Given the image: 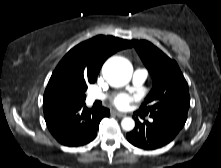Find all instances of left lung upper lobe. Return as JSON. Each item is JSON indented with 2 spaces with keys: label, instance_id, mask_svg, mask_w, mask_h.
Returning a JSON list of instances; mask_svg holds the SVG:
<instances>
[{
  "label": "left lung upper lobe",
  "instance_id": "5c2ea615",
  "mask_svg": "<svg viewBox=\"0 0 221 168\" xmlns=\"http://www.w3.org/2000/svg\"><path fill=\"white\" fill-rule=\"evenodd\" d=\"M132 44L153 80L152 90L137 112L185 124L190 96L188 84L177 63L148 41L132 40Z\"/></svg>",
  "mask_w": 221,
  "mask_h": 168
}]
</instances>
